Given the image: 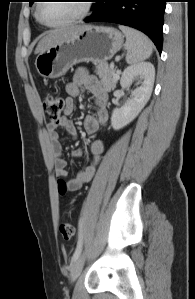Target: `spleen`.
Wrapping results in <instances>:
<instances>
[{"label":"spleen","instance_id":"obj_1","mask_svg":"<svg viewBox=\"0 0 195 299\" xmlns=\"http://www.w3.org/2000/svg\"><path fill=\"white\" fill-rule=\"evenodd\" d=\"M119 28L126 36V62L137 64L148 59L153 52V43L150 39L135 29L120 25Z\"/></svg>","mask_w":195,"mask_h":299}]
</instances>
